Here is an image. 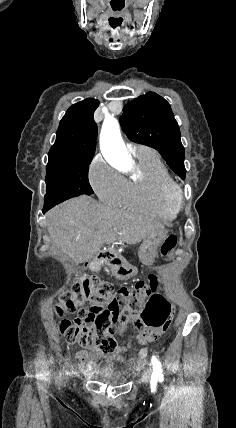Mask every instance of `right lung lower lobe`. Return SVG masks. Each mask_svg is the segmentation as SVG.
I'll return each instance as SVG.
<instances>
[{"label":"right lung lower lobe","instance_id":"98d812e1","mask_svg":"<svg viewBox=\"0 0 236 428\" xmlns=\"http://www.w3.org/2000/svg\"><path fill=\"white\" fill-rule=\"evenodd\" d=\"M55 206V205H54ZM53 206L52 205H48V206H44L43 208V214H45L49 209H51Z\"/></svg>","mask_w":236,"mask_h":428}]
</instances>
